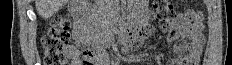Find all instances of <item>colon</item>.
<instances>
[{"label": "colon", "instance_id": "obj_1", "mask_svg": "<svg viewBox=\"0 0 232 65\" xmlns=\"http://www.w3.org/2000/svg\"><path fill=\"white\" fill-rule=\"evenodd\" d=\"M154 8L162 28L169 29L176 19L170 1L156 0ZM186 16L193 25L200 23L201 15L199 12L191 10ZM72 19V16H57L53 19L52 27L42 39L45 65L67 64L64 47L69 39L68 28ZM175 51L181 58H185L190 52V46L184 41H179L175 45ZM81 60L83 65H93L95 60L93 52L85 50L81 55Z\"/></svg>", "mask_w": 232, "mask_h": 65}]
</instances>
